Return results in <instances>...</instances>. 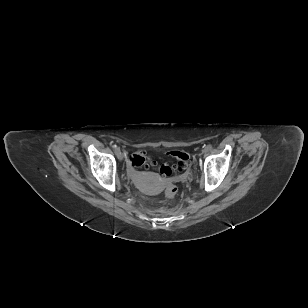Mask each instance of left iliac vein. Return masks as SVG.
I'll use <instances>...</instances> for the list:
<instances>
[{
    "label": "left iliac vein",
    "instance_id": "4c4485c4",
    "mask_svg": "<svg viewBox=\"0 0 308 308\" xmlns=\"http://www.w3.org/2000/svg\"><path fill=\"white\" fill-rule=\"evenodd\" d=\"M208 150L206 149V148H204L203 150H202V153H206Z\"/></svg>",
    "mask_w": 308,
    "mask_h": 308
}]
</instances>
